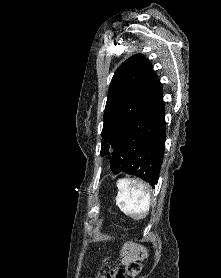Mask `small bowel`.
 Wrapping results in <instances>:
<instances>
[{"mask_svg":"<svg viewBox=\"0 0 221 278\" xmlns=\"http://www.w3.org/2000/svg\"><path fill=\"white\" fill-rule=\"evenodd\" d=\"M141 257H146L145 250L133 243L124 244L120 250V262L123 267H126L131 261ZM100 278H116V273L110 272Z\"/></svg>","mask_w":221,"mask_h":278,"instance_id":"obj_1","label":"small bowel"}]
</instances>
